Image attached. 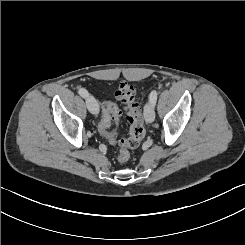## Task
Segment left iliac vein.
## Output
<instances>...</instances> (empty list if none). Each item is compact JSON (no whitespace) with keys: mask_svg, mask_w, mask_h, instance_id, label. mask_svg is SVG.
Here are the masks:
<instances>
[{"mask_svg":"<svg viewBox=\"0 0 245 245\" xmlns=\"http://www.w3.org/2000/svg\"><path fill=\"white\" fill-rule=\"evenodd\" d=\"M144 117L147 123H152L155 119L154 104L151 101L144 107Z\"/></svg>","mask_w":245,"mask_h":245,"instance_id":"obj_1","label":"left iliac vein"}]
</instances>
